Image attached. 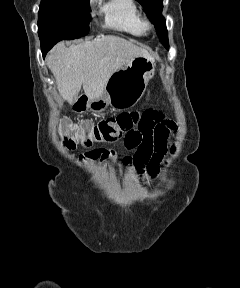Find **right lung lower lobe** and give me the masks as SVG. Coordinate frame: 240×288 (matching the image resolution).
Masks as SVG:
<instances>
[{
    "instance_id": "1",
    "label": "right lung lower lobe",
    "mask_w": 240,
    "mask_h": 288,
    "mask_svg": "<svg viewBox=\"0 0 240 288\" xmlns=\"http://www.w3.org/2000/svg\"><path fill=\"white\" fill-rule=\"evenodd\" d=\"M50 49H51V47H49V46H41L43 57H45L47 51Z\"/></svg>"
}]
</instances>
